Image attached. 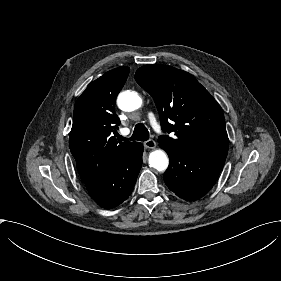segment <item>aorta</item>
<instances>
[{
	"instance_id": "762f6f07",
	"label": "aorta",
	"mask_w": 281,
	"mask_h": 281,
	"mask_svg": "<svg viewBox=\"0 0 281 281\" xmlns=\"http://www.w3.org/2000/svg\"><path fill=\"white\" fill-rule=\"evenodd\" d=\"M142 98L134 91H123L117 97L118 107L125 111L131 112L142 106ZM148 164L157 171H165L169 165V159L166 153L161 150H154L149 154Z\"/></svg>"
}]
</instances>
